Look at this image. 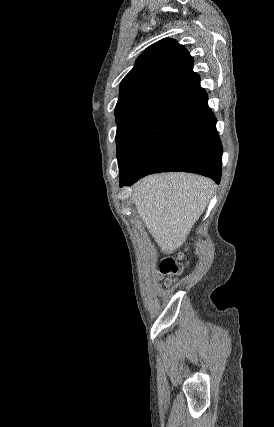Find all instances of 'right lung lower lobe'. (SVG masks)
Wrapping results in <instances>:
<instances>
[{
  "instance_id": "1",
  "label": "right lung lower lobe",
  "mask_w": 274,
  "mask_h": 427,
  "mask_svg": "<svg viewBox=\"0 0 274 427\" xmlns=\"http://www.w3.org/2000/svg\"><path fill=\"white\" fill-rule=\"evenodd\" d=\"M202 89L173 106L138 159L119 166L120 186L157 172L184 171L220 182L222 146Z\"/></svg>"
}]
</instances>
